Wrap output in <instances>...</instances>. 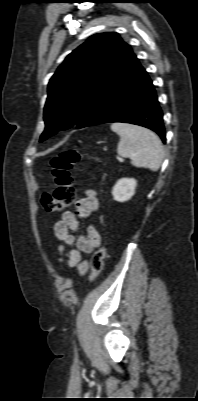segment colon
<instances>
[{
	"mask_svg": "<svg viewBox=\"0 0 198 401\" xmlns=\"http://www.w3.org/2000/svg\"><path fill=\"white\" fill-rule=\"evenodd\" d=\"M78 149L70 148L54 156L50 161L55 189L52 194H44L41 204L45 211L54 213L70 206L75 199V183L71 174L74 165L80 160ZM106 248H98L91 259V278L95 279L104 268Z\"/></svg>",
	"mask_w": 198,
	"mask_h": 401,
	"instance_id": "5ec220e1",
	"label": "colon"
}]
</instances>
